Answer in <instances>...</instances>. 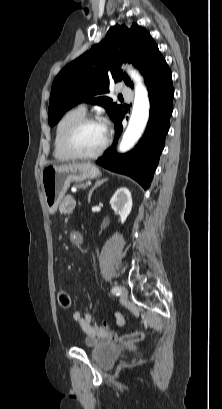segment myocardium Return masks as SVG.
<instances>
[{"instance_id": "myocardium-1", "label": "myocardium", "mask_w": 222, "mask_h": 409, "mask_svg": "<svg viewBox=\"0 0 222 409\" xmlns=\"http://www.w3.org/2000/svg\"><path fill=\"white\" fill-rule=\"evenodd\" d=\"M89 123H101L103 125L104 122L102 121L101 118L97 117V116H92V115H88V116H84L82 118H80L79 120H77L74 124H72L69 129L67 130V132L65 133L64 136V148L65 151L73 158V159H81V160H89V159H96L98 157H100L104 151L108 148L110 142H111V135L110 132L107 129V135H106V139L103 143V145L101 146V148L91 154H84V153H80L79 151H77L73 145V139L76 135V133L86 124Z\"/></svg>"}]
</instances>
